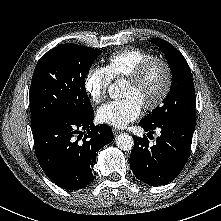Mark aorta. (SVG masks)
Listing matches in <instances>:
<instances>
[{
	"instance_id": "obj_1",
	"label": "aorta",
	"mask_w": 221,
	"mask_h": 221,
	"mask_svg": "<svg viewBox=\"0 0 221 221\" xmlns=\"http://www.w3.org/2000/svg\"><path fill=\"white\" fill-rule=\"evenodd\" d=\"M109 95L113 98L118 96V86L116 84L109 88ZM115 143L119 149L124 151L131 150L134 146L132 136L126 133L118 135L115 139Z\"/></svg>"
}]
</instances>
